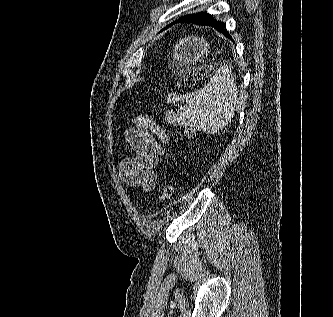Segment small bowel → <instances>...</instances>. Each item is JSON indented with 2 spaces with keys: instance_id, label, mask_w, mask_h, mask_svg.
<instances>
[{
  "instance_id": "obj_1",
  "label": "small bowel",
  "mask_w": 333,
  "mask_h": 317,
  "mask_svg": "<svg viewBox=\"0 0 333 317\" xmlns=\"http://www.w3.org/2000/svg\"><path fill=\"white\" fill-rule=\"evenodd\" d=\"M125 139L135 152L119 165V177L131 187L153 190L158 182L156 168L160 164L169 138L162 126L150 117L138 114L125 132Z\"/></svg>"
}]
</instances>
